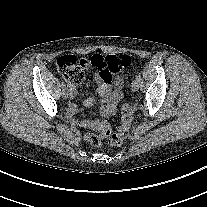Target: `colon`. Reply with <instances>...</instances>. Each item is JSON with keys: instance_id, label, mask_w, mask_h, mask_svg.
Instances as JSON below:
<instances>
[{"instance_id": "5ec220e1", "label": "colon", "mask_w": 207, "mask_h": 207, "mask_svg": "<svg viewBox=\"0 0 207 207\" xmlns=\"http://www.w3.org/2000/svg\"><path fill=\"white\" fill-rule=\"evenodd\" d=\"M132 63L128 55H110L106 57L94 56L91 59H80L71 55L61 56L56 60V67L65 81L71 87L78 85L84 76L85 68L88 66L99 67L104 79H109L114 73H117ZM133 122V107L130 104L122 106V121L118 132L109 138V144L114 147L121 146L127 138ZM100 136L87 134L86 140L94 147H99L103 138L110 135L109 125L101 121L99 123Z\"/></svg>"}]
</instances>
